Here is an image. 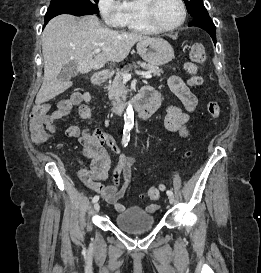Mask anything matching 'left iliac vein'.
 Here are the masks:
<instances>
[{"mask_svg": "<svg viewBox=\"0 0 261 273\" xmlns=\"http://www.w3.org/2000/svg\"><path fill=\"white\" fill-rule=\"evenodd\" d=\"M168 199H169V202H170L171 204H173L174 201H175L173 195L169 196Z\"/></svg>", "mask_w": 261, "mask_h": 273, "instance_id": "obj_1", "label": "left iliac vein"}]
</instances>
